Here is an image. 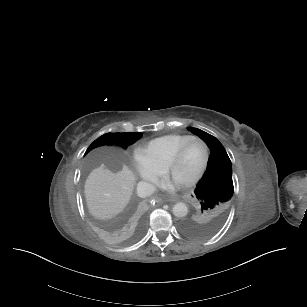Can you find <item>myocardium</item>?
Returning a JSON list of instances; mask_svg holds the SVG:
<instances>
[{
  "label": "myocardium",
  "instance_id": "obj_1",
  "mask_svg": "<svg viewBox=\"0 0 307 307\" xmlns=\"http://www.w3.org/2000/svg\"><path fill=\"white\" fill-rule=\"evenodd\" d=\"M193 141H199L203 144L204 160H203V164L200 167V169L185 183L184 187L186 188H190L194 186L196 183H198L202 179V177L205 175L208 169L209 162H210L209 146H208V143L204 139L200 137H190L189 139L184 141L183 144L176 150V152L172 156H170L162 165L164 177L167 178L169 169L181 160L187 146L189 145V143Z\"/></svg>",
  "mask_w": 307,
  "mask_h": 307
}]
</instances>
